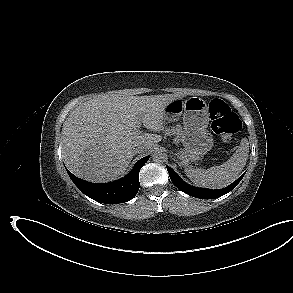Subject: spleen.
<instances>
[{
  "instance_id": "1",
  "label": "spleen",
  "mask_w": 293,
  "mask_h": 293,
  "mask_svg": "<svg viewBox=\"0 0 293 293\" xmlns=\"http://www.w3.org/2000/svg\"><path fill=\"white\" fill-rule=\"evenodd\" d=\"M249 153V143L243 138L235 153L220 166L207 170L186 168L187 177L197 186L219 189L234 182L246 165Z\"/></svg>"
}]
</instances>
